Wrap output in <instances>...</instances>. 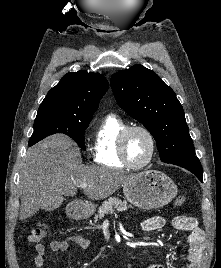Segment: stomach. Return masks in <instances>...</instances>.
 <instances>
[{"mask_svg":"<svg viewBox=\"0 0 221 268\" xmlns=\"http://www.w3.org/2000/svg\"><path fill=\"white\" fill-rule=\"evenodd\" d=\"M126 199L133 205L146 209H157L170 203L177 195V186L170 177L157 170H145L133 175L123 185ZM95 211L91 202H77L68 215L74 219H87Z\"/></svg>","mask_w":221,"mask_h":268,"instance_id":"obj_1","label":"stomach"}]
</instances>
